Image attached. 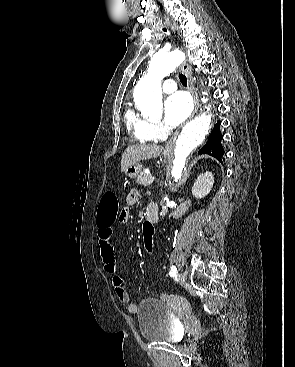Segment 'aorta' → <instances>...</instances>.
Masks as SVG:
<instances>
[{
    "label": "aorta",
    "instance_id": "1",
    "mask_svg": "<svg viewBox=\"0 0 295 367\" xmlns=\"http://www.w3.org/2000/svg\"><path fill=\"white\" fill-rule=\"evenodd\" d=\"M183 59L184 55L179 50L159 51L152 57L147 76L137 84L134 91L135 104L143 117H161L163 107L161 81L173 72ZM210 124L211 115L204 112L182 128L175 143L170 183L176 185L181 181L187 156L204 141ZM166 206H170L168 200Z\"/></svg>",
    "mask_w": 295,
    "mask_h": 367
}]
</instances>
